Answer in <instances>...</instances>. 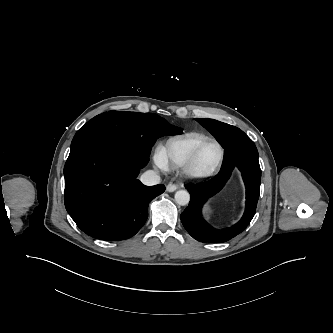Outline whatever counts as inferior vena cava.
<instances>
[{"instance_id":"1","label":"inferior vena cava","mask_w":333,"mask_h":333,"mask_svg":"<svg viewBox=\"0 0 333 333\" xmlns=\"http://www.w3.org/2000/svg\"><path fill=\"white\" fill-rule=\"evenodd\" d=\"M140 181L147 186H153L160 183V176L153 170H147L140 176Z\"/></svg>"}]
</instances>
